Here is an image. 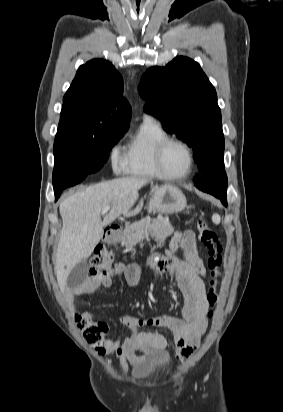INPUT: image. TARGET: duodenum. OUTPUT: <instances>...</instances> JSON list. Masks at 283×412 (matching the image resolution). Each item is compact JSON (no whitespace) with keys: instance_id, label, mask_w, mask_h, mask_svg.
<instances>
[{"instance_id":"1","label":"duodenum","mask_w":283,"mask_h":412,"mask_svg":"<svg viewBox=\"0 0 283 412\" xmlns=\"http://www.w3.org/2000/svg\"><path fill=\"white\" fill-rule=\"evenodd\" d=\"M120 228L118 226H110L106 234V243L108 245H115L118 241Z\"/></svg>"}]
</instances>
